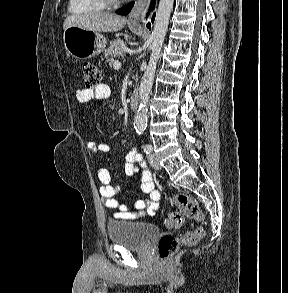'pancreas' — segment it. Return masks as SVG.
<instances>
[{
	"instance_id": "obj_1",
	"label": "pancreas",
	"mask_w": 288,
	"mask_h": 293,
	"mask_svg": "<svg viewBox=\"0 0 288 293\" xmlns=\"http://www.w3.org/2000/svg\"><path fill=\"white\" fill-rule=\"evenodd\" d=\"M126 46L123 40L116 39L110 42L109 47L106 49L104 55L109 60L110 64L114 62V59L124 55Z\"/></svg>"
}]
</instances>
